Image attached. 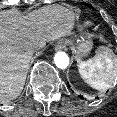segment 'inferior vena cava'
Here are the masks:
<instances>
[{
    "instance_id": "1",
    "label": "inferior vena cava",
    "mask_w": 117,
    "mask_h": 117,
    "mask_svg": "<svg viewBox=\"0 0 117 117\" xmlns=\"http://www.w3.org/2000/svg\"><path fill=\"white\" fill-rule=\"evenodd\" d=\"M29 53L31 55H37L39 53V48L37 46H31L29 48Z\"/></svg>"
}]
</instances>
